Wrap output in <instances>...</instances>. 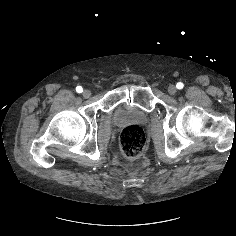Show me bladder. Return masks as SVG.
Instances as JSON below:
<instances>
[{
  "instance_id": "1",
  "label": "bladder",
  "mask_w": 236,
  "mask_h": 236,
  "mask_svg": "<svg viewBox=\"0 0 236 236\" xmlns=\"http://www.w3.org/2000/svg\"><path fill=\"white\" fill-rule=\"evenodd\" d=\"M133 113V110H128L127 108L120 107L115 111V116L118 120H125L129 116H131Z\"/></svg>"
}]
</instances>
